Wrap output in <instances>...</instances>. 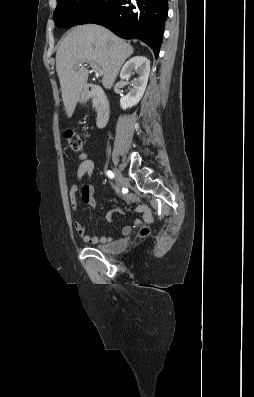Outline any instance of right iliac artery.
I'll use <instances>...</instances> for the list:
<instances>
[{
  "instance_id": "right-iliac-artery-1",
  "label": "right iliac artery",
  "mask_w": 254,
  "mask_h": 397,
  "mask_svg": "<svg viewBox=\"0 0 254 397\" xmlns=\"http://www.w3.org/2000/svg\"><path fill=\"white\" fill-rule=\"evenodd\" d=\"M107 175H108V177L110 178V179H113L114 178V174H113V172L112 171H107Z\"/></svg>"
}]
</instances>
